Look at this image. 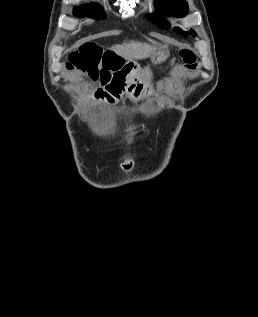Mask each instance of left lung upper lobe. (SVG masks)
I'll return each instance as SVG.
<instances>
[{
	"label": "left lung upper lobe",
	"instance_id": "5c2ea615",
	"mask_svg": "<svg viewBox=\"0 0 258 317\" xmlns=\"http://www.w3.org/2000/svg\"><path fill=\"white\" fill-rule=\"evenodd\" d=\"M155 5L159 10L158 13H153L147 15L150 20L154 23H157L159 26L163 28H169V24L163 18V15H170L175 17H183L188 12V5L185 0H155ZM181 32L183 36H188V32H184L181 30H177ZM190 33L195 36L196 33L194 31H190Z\"/></svg>",
	"mask_w": 258,
	"mask_h": 317
}]
</instances>
